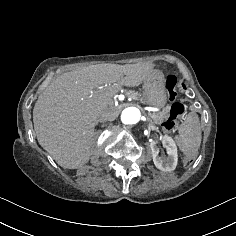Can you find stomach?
<instances>
[{
  "label": "stomach",
  "instance_id": "stomach-1",
  "mask_svg": "<svg viewBox=\"0 0 236 236\" xmlns=\"http://www.w3.org/2000/svg\"><path fill=\"white\" fill-rule=\"evenodd\" d=\"M144 102L155 109L163 108L167 101V93L164 83V75L155 70L153 75L144 82Z\"/></svg>",
  "mask_w": 236,
  "mask_h": 236
}]
</instances>
